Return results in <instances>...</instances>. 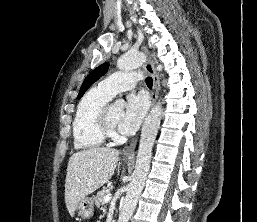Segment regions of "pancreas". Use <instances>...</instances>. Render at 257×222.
<instances>
[{
	"label": "pancreas",
	"instance_id": "1",
	"mask_svg": "<svg viewBox=\"0 0 257 222\" xmlns=\"http://www.w3.org/2000/svg\"><path fill=\"white\" fill-rule=\"evenodd\" d=\"M110 193V188L104 187L102 190H100L97 195L95 196V204L97 207L104 205V197Z\"/></svg>",
	"mask_w": 257,
	"mask_h": 222
}]
</instances>
